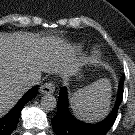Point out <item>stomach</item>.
<instances>
[{
    "label": "stomach",
    "instance_id": "obj_1",
    "mask_svg": "<svg viewBox=\"0 0 135 135\" xmlns=\"http://www.w3.org/2000/svg\"><path fill=\"white\" fill-rule=\"evenodd\" d=\"M76 76H77V77H76L77 79H80V78L82 77V74H81L80 72H78V73L76 74Z\"/></svg>",
    "mask_w": 135,
    "mask_h": 135
}]
</instances>
